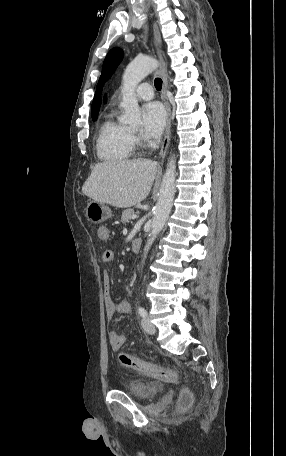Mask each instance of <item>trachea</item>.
Listing matches in <instances>:
<instances>
[{
  "instance_id": "obj_1",
  "label": "trachea",
  "mask_w": 286,
  "mask_h": 456,
  "mask_svg": "<svg viewBox=\"0 0 286 456\" xmlns=\"http://www.w3.org/2000/svg\"><path fill=\"white\" fill-rule=\"evenodd\" d=\"M154 85H155V88L160 91L161 88H162V80L160 78H156L154 80Z\"/></svg>"
}]
</instances>
